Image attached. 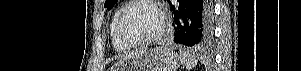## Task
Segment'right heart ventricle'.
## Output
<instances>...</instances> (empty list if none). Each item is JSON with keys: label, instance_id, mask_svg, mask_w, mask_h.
<instances>
[{"label": "right heart ventricle", "instance_id": "obj_1", "mask_svg": "<svg viewBox=\"0 0 301 71\" xmlns=\"http://www.w3.org/2000/svg\"><path fill=\"white\" fill-rule=\"evenodd\" d=\"M120 10H121V8L117 9L115 11V13L113 14L111 22H110V27H109V34H110L112 46H113L114 50L117 52H123L128 49V47L120 41V39L118 38L117 33H116V21H117V17H118Z\"/></svg>", "mask_w": 301, "mask_h": 71}]
</instances>
